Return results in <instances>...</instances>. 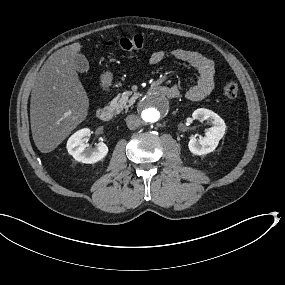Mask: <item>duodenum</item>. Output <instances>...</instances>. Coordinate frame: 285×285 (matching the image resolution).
Segmentation results:
<instances>
[{"label":"duodenum","mask_w":285,"mask_h":285,"mask_svg":"<svg viewBox=\"0 0 285 285\" xmlns=\"http://www.w3.org/2000/svg\"><path fill=\"white\" fill-rule=\"evenodd\" d=\"M148 91L151 93H157L167 98H174L177 96L176 91L174 89L164 85H158V84L151 85ZM96 114L98 119H100L103 122H108L113 118L114 110L109 106H103L97 110Z\"/></svg>","instance_id":"1"}]
</instances>
